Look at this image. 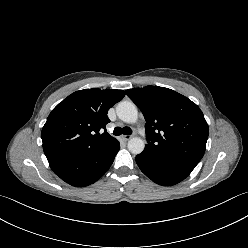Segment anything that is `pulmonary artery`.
Instances as JSON below:
<instances>
[{
	"mask_svg": "<svg viewBox=\"0 0 248 248\" xmlns=\"http://www.w3.org/2000/svg\"><path fill=\"white\" fill-rule=\"evenodd\" d=\"M140 133H141V135L143 136V137H146V133L144 132V130H140Z\"/></svg>",
	"mask_w": 248,
	"mask_h": 248,
	"instance_id": "e3ab8cb5",
	"label": "pulmonary artery"
}]
</instances>
